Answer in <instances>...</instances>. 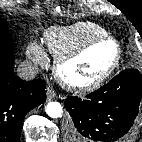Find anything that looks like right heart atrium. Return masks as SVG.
I'll use <instances>...</instances> for the list:
<instances>
[{
  "label": "right heart atrium",
  "instance_id": "obj_1",
  "mask_svg": "<svg viewBox=\"0 0 142 142\" xmlns=\"http://www.w3.org/2000/svg\"><path fill=\"white\" fill-rule=\"evenodd\" d=\"M26 54L36 64L44 65L47 62L46 54L41 45L32 42L28 45Z\"/></svg>",
  "mask_w": 142,
  "mask_h": 142
}]
</instances>
